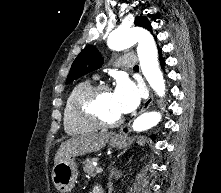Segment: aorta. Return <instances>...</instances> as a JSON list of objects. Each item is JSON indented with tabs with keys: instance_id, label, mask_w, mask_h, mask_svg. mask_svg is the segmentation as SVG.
<instances>
[{
	"instance_id": "obj_1",
	"label": "aorta",
	"mask_w": 221,
	"mask_h": 193,
	"mask_svg": "<svg viewBox=\"0 0 221 193\" xmlns=\"http://www.w3.org/2000/svg\"><path fill=\"white\" fill-rule=\"evenodd\" d=\"M138 43L137 53L140 67L152 89L160 96L165 95V82L158 64V53L152 35L142 28H118L110 33L108 46L112 50H123ZM161 120L159 112H147L138 116L133 124L134 131H144L157 125Z\"/></svg>"
}]
</instances>
